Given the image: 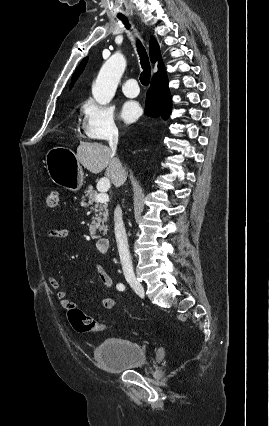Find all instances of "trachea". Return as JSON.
<instances>
[{"instance_id": "obj_1", "label": "trachea", "mask_w": 269, "mask_h": 426, "mask_svg": "<svg viewBox=\"0 0 269 426\" xmlns=\"http://www.w3.org/2000/svg\"><path fill=\"white\" fill-rule=\"evenodd\" d=\"M119 19L123 21V23L125 24L127 28H130L127 18H119ZM137 51L140 56L141 66L143 68V71L140 75V81L142 85L148 86L150 82V76H151L150 63H149L148 55L146 53L145 48L143 47L142 43L138 40H137Z\"/></svg>"}]
</instances>
